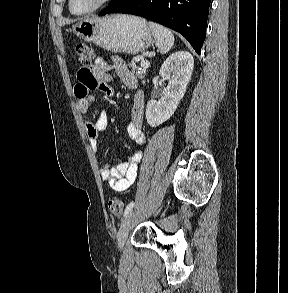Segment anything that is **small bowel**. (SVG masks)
Returning a JSON list of instances; mask_svg holds the SVG:
<instances>
[{"label": "small bowel", "instance_id": "1", "mask_svg": "<svg viewBox=\"0 0 288 293\" xmlns=\"http://www.w3.org/2000/svg\"><path fill=\"white\" fill-rule=\"evenodd\" d=\"M112 70L116 72L127 87L131 89L138 87L136 76L128 69L123 59L118 56H113L110 61L97 58L91 68H81L77 73L78 82L74 93L78 98V106L82 114H87L89 107L95 102V96L90 93L91 91L99 90L108 96L114 95V90L110 86L113 80ZM144 105V94L141 90H137L128 131L131 140L138 145H143L146 142V135L142 128ZM107 124V117L103 111H100L94 120L85 122L87 136L95 149L99 147L100 134L107 128ZM142 156L143 152L138 150L128 159L118 162L115 166L110 162L103 163L100 170L102 179L115 191H125L135 181L138 164Z\"/></svg>", "mask_w": 288, "mask_h": 293}]
</instances>
